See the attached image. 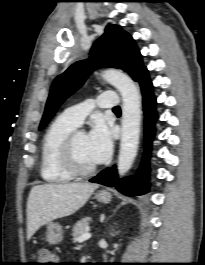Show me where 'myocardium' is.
I'll return each mask as SVG.
<instances>
[{"label": "myocardium", "instance_id": "obj_1", "mask_svg": "<svg viewBox=\"0 0 205 265\" xmlns=\"http://www.w3.org/2000/svg\"><path fill=\"white\" fill-rule=\"evenodd\" d=\"M83 133L82 131H73L67 137L63 151H62V162L65 168L73 175L78 177L89 176L97 170V165L90 167H81L75 157V139L78 134Z\"/></svg>", "mask_w": 205, "mask_h": 265}]
</instances>
